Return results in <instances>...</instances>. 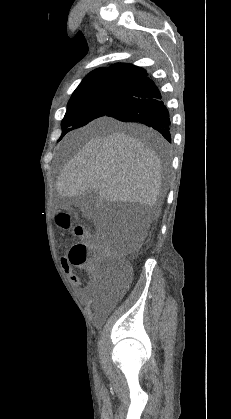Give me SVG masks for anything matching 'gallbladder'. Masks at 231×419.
Listing matches in <instances>:
<instances>
[{
  "label": "gallbladder",
  "instance_id": "1",
  "mask_svg": "<svg viewBox=\"0 0 231 419\" xmlns=\"http://www.w3.org/2000/svg\"><path fill=\"white\" fill-rule=\"evenodd\" d=\"M99 202V194L94 189H89L81 197H77L74 200V203L84 207L87 214L96 211Z\"/></svg>",
  "mask_w": 231,
  "mask_h": 419
}]
</instances>
